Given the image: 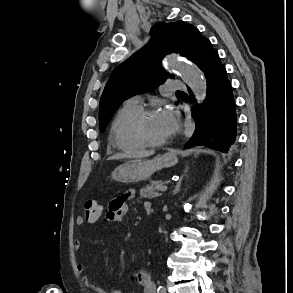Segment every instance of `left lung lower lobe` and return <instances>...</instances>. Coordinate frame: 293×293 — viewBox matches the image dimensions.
I'll use <instances>...</instances> for the list:
<instances>
[{"label":"left lung lower lobe","mask_w":293,"mask_h":293,"mask_svg":"<svg viewBox=\"0 0 293 293\" xmlns=\"http://www.w3.org/2000/svg\"><path fill=\"white\" fill-rule=\"evenodd\" d=\"M198 67L205 75L207 94L200 105L190 90L181 96V100L191 106L195 120V131L185 147L201 145L227 152L236 135L234 98L226 69L209 40L204 46Z\"/></svg>","instance_id":"obj_1"}]
</instances>
